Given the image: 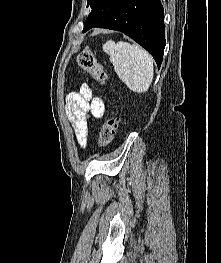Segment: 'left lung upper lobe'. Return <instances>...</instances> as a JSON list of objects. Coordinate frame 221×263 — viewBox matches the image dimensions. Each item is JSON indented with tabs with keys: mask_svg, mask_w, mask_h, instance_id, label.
Masks as SVG:
<instances>
[{
	"mask_svg": "<svg viewBox=\"0 0 221 263\" xmlns=\"http://www.w3.org/2000/svg\"><path fill=\"white\" fill-rule=\"evenodd\" d=\"M102 0H88L87 7L94 8L97 6Z\"/></svg>",
	"mask_w": 221,
	"mask_h": 263,
	"instance_id": "1",
	"label": "left lung upper lobe"
}]
</instances>
